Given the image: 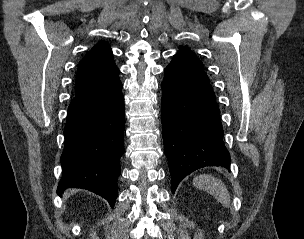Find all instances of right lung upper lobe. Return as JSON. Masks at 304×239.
I'll list each match as a JSON object with an SVG mask.
<instances>
[{
	"label": "right lung upper lobe",
	"instance_id": "right-lung-upper-lobe-1",
	"mask_svg": "<svg viewBox=\"0 0 304 239\" xmlns=\"http://www.w3.org/2000/svg\"><path fill=\"white\" fill-rule=\"evenodd\" d=\"M117 70L109 44L100 42L79 63L76 94L96 86Z\"/></svg>",
	"mask_w": 304,
	"mask_h": 239
}]
</instances>
